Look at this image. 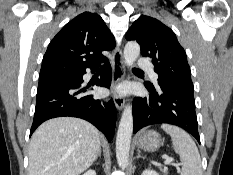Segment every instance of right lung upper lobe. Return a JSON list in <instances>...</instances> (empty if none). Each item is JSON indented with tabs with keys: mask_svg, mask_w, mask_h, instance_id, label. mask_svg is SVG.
I'll list each match as a JSON object with an SVG mask.
<instances>
[{
	"mask_svg": "<svg viewBox=\"0 0 233 175\" xmlns=\"http://www.w3.org/2000/svg\"><path fill=\"white\" fill-rule=\"evenodd\" d=\"M115 45L103 19L97 13L84 12L52 39L43 57L40 78L75 75L96 67L106 60L101 52Z\"/></svg>",
	"mask_w": 233,
	"mask_h": 175,
	"instance_id": "1",
	"label": "right lung upper lobe"
}]
</instances>
